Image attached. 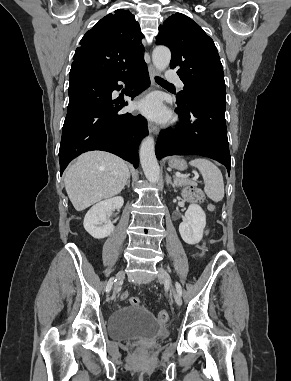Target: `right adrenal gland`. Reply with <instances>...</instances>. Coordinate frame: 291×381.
<instances>
[{
    "label": "right adrenal gland",
    "mask_w": 291,
    "mask_h": 381,
    "mask_svg": "<svg viewBox=\"0 0 291 381\" xmlns=\"http://www.w3.org/2000/svg\"><path fill=\"white\" fill-rule=\"evenodd\" d=\"M126 185H127L128 187H130V175H129V177H128V180H127Z\"/></svg>",
    "instance_id": "1"
}]
</instances>
